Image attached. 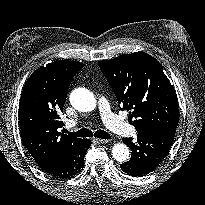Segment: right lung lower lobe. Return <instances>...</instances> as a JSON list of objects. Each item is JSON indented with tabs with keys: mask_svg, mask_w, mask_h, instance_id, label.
<instances>
[{
	"mask_svg": "<svg viewBox=\"0 0 205 205\" xmlns=\"http://www.w3.org/2000/svg\"><path fill=\"white\" fill-rule=\"evenodd\" d=\"M90 145L91 140L84 139L64 156L42 169L57 178L72 177L83 167L84 155Z\"/></svg>",
	"mask_w": 205,
	"mask_h": 205,
	"instance_id": "98d812e1",
	"label": "right lung lower lobe"
}]
</instances>
